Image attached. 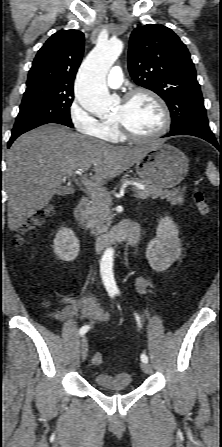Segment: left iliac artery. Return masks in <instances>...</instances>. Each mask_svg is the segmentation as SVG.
<instances>
[{
    "mask_svg": "<svg viewBox=\"0 0 222 447\" xmlns=\"http://www.w3.org/2000/svg\"><path fill=\"white\" fill-rule=\"evenodd\" d=\"M116 293H119L117 290H116ZM136 320H137V322H138V325L140 326L141 324H140V317L136 314ZM141 360H142V362H148V357H147V355H145V354H142L141 355Z\"/></svg>",
    "mask_w": 222,
    "mask_h": 447,
    "instance_id": "1",
    "label": "left iliac artery"
}]
</instances>
